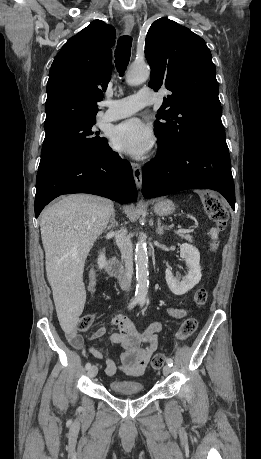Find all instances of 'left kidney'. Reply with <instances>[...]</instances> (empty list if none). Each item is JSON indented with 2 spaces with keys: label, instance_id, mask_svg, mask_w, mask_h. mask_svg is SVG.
Segmentation results:
<instances>
[{
  "label": "left kidney",
  "instance_id": "1",
  "mask_svg": "<svg viewBox=\"0 0 261 459\" xmlns=\"http://www.w3.org/2000/svg\"><path fill=\"white\" fill-rule=\"evenodd\" d=\"M180 256L186 262L188 273L180 278L174 277L171 268L165 271L166 282L175 295H183L191 290L201 280L200 253L193 245L184 243L180 246Z\"/></svg>",
  "mask_w": 261,
  "mask_h": 459
}]
</instances>
